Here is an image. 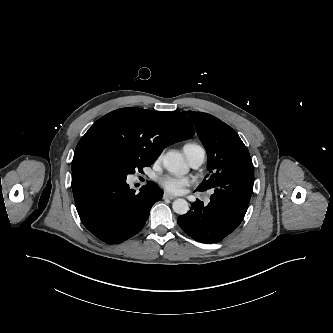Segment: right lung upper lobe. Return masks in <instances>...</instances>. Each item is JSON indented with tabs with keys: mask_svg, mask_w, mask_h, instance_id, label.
Returning <instances> with one entry per match:
<instances>
[{
	"mask_svg": "<svg viewBox=\"0 0 333 333\" xmlns=\"http://www.w3.org/2000/svg\"><path fill=\"white\" fill-rule=\"evenodd\" d=\"M194 133L190 120L177 111L117 109L96 121L80 139L71 168L83 165L84 158L91 152H111L155 161L164 148Z\"/></svg>",
	"mask_w": 333,
	"mask_h": 333,
	"instance_id": "right-lung-upper-lobe-1",
	"label": "right lung upper lobe"
}]
</instances>
